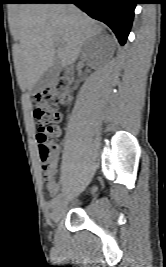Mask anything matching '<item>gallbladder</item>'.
Returning <instances> with one entry per match:
<instances>
[{
    "mask_svg": "<svg viewBox=\"0 0 166 267\" xmlns=\"http://www.w3.org/2000/svg\"><path fill=\"white\" fill-rule=\"evenodd\" d=\"M61 71V62L56 59L51 67H49L38 79L34 87L31 89V94L43 92L45 89L54 85Z\"/></svg>",
    "mask_w": 166,
    "mask_h": 267,
    "instance_id": "obj_1",
    "label": "gallbladder"
}]
</instances>
